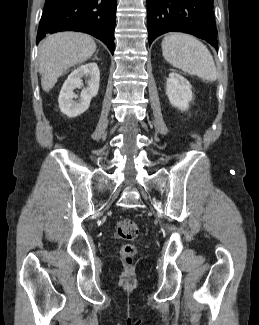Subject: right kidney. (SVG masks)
Instances as JSON below:
<instances>
[{"label": "right kidney", "instance_id": "1", "mask_svg": "<svg viewBox=\"0 0 259 325\" xmlns=\"http://www.w3.org/2000/svg\"><path fill=\"white\" fill-rule=\"evenodd\" d=\"M90 77L88 87L81 92L80 99L74 93L75 89L82 87V78ZM100 71L96 63L91 62L77 67L64 82L58 98L59 108L68 117H76L84 113L90 105L91 99L98 94Z\"/></svg>", "mask_w": 259, "mask_h": 325}]
</instances>
